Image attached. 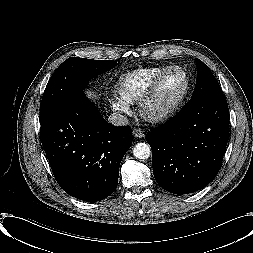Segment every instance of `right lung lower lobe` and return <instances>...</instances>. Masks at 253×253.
Returning a JSON list of instances; mask_svg holds the SVG:
<instances>
[{
	"label": "right lung lower lobe",
	"instance_id": "1",
	"mask_svg": "<svg viewBox=\"0 0 253 253\" xmlns=\"http://www.w3.org/2000/svg\"><path fill=\"white\" fill-rule=\"evenodd\" d=\"M41 123V141L58 184L69 195L100 201L116 189L120 162L132 144L130 126L106 122L78 92Z\"/></svg>",
	"mask_w": 253,
	"mask_h": 253
}]
</instances>
